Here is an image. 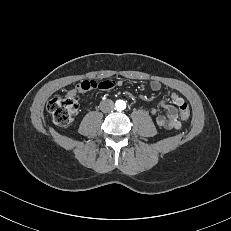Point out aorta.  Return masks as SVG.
Returning a JSON list of instances; mask_svg holds the SVG:
<instances>
[{
    "instance_id": "762f6f07",
    "label": "aorta",
    "mask_w": 231,
    "mask_h": 231,
    "mask_svg": "<svg viewBox=\"0 0 231 231\" xmlns=\"http://www.w3.org/2000/svg\"><path fill=\"white\" fill-rule=\"evenodd\" d=\"M125 106H126V104H125V102L123 100H117L116 101V108L117 109L122 110V109L125 108Z\"/></svg>"
}]
</instances>
